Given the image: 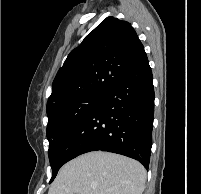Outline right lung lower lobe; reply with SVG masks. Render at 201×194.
I'll return each mask as SVG.
<instances>
[{
    "label": "right lung lower lobe",
    "mask_w": 201,
    "mask_h": 194,
    "mask_svg": "<svg viewBox=\"0 0 201 194\" xmlns=\"http://www.w3.org/2000/svg\"><path fill=\"white\" fill-rule=\"evenodd\" d=\"M153 76L148 58L103 94L98 104L62 139L58 167L90 151H108L149 166L154 119Z\"/></svg>",
    "instance_id": "98d812e1"
}]
</instances>
